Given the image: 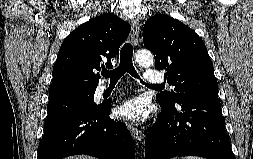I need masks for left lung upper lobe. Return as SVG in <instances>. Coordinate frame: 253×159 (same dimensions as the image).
<instances>
[{
    "instance_id": "1",
    "label": "left lung upper lobe",
    "mask_w": 253,
    "mask_h": 159,
    "mask_svg": "<svg viewBox=\"0 0 253 159\" xmlns=\"http://www.w3.org/2000/svg\"><path fill=\"white\" fill-rule=\"evenodd\" d=\"M143 43L153 52L156 68L165 69L167 82L175 86L171 92L158 94V102L174 106L184 98H218V83L207 48L188 26L167 15H155L143 27Z\"/></svg>"
}]
</instances>
